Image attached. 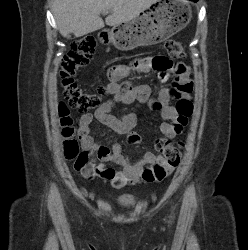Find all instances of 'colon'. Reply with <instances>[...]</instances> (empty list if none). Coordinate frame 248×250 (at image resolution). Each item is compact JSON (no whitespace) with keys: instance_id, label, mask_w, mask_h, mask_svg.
<instances>
[{"instance_id":"obj_1","label":"colon","mask_w":248,"mask_h":250,"mask_svg":"<svg viewBox=\"0 0 248 250\" xmlns=\"http://www.w3.org/2000/svg\"><path fill=\"white\" fill-rule=\"evenodd\" d=\"M95 48L96 40L93 37H82L72 43L69 52L63 57L59 77L65 102L61 104L59 114L65 158L68 161H74L79 168L97 171L98 169L89 161V152L80 150L78 141L75 138L74 118L70 115V108L88 112L96 110L101 105L106 82H101V85L95 91H89L80 86L74 79V76L89 64ZM163 48L172 59L185 56L184 46L180 41L167 40L164 42ZM172 96L177 98L176 92L173 91ZM187 111L190 114L191 110L187 109ZM137 136L139 137V135ZM155 146L162 155L163 164L146 168L143 174L146 179L152 181L163 179L169 168L174 169L179 165L182 143L175 145L170 139H159Z\"/></svg>"}]
</instances>
